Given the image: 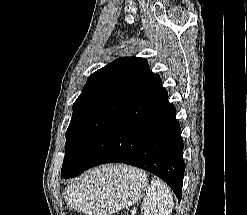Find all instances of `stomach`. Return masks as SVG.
<instances>
[{
  "instance_id": "obj_1",
  "label": "stomach",
  "mask_w": 247,
  "mask_h": 215,
  "mask_svg": "<svg viewBox=\"0 0 247 215\" xmlns=\"http://www.w3.org/2000/svg\"><path fill=\"white\" fill-rule=\"evenodd\" d=\"M123 167L103 166L69 185L63 194L69 208L88 215H110L137 202L146 189V177L135 168Z\"/></svg>"
}]
</instances>
